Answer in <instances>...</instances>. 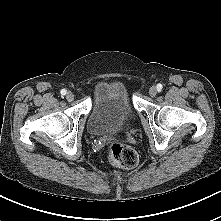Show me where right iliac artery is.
Returning a JSON list of instances; mask_svg holds the SVG:
<instances>
[{"label": "right iliac artery", "mask_w": 221, "mask_h": 221, "mask_svg": "<svg viewBox=\"0 0 221 221\" xmlns=\"http://www.w3.org/2000/svg\"><path fill=\"white\" fill-rule=\"evenodd\" d=\"M60 93H61V95H65L67 93V91L65 89H62Z\"/></svg>", "instance_id": "obj_1"}]
</instances>
